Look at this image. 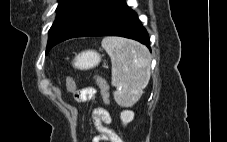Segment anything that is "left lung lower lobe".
Listing matches in <instances>:
<instances>
[{"mask_svg":"<svg viewBox=\"0 0 227 142\" xmlns=\"http://www.w3.org/2000/svg\"><path fill=\"white\" fill-rule=\"evenodd\" d=\"M121 36L137 40L150 49L146 29L124 0H111L94 18L73 34L74 37Z\"/></svg>","mask_w":227,"mask_h":142,"instance_id":"obj_1","label":"left lung lower lobe"}]
</instances>
